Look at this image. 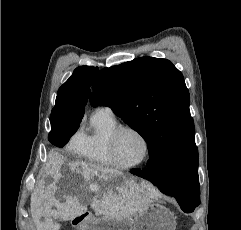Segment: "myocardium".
Masks as SVG:
<instances>
[{"mask_svg": "<svg viewBox=\"0 0 241 230\" xmlns=\"http://www.w3.org/2000/svg\"><path fill=\"white\" fill-rule=\"evenodd\" d=\"M124 131L134 132L136 135H138L141 138V140L144 143V147H145L144 155H143L142 159L139 160L138 162L123 163V162L119 161L117 158V154H116L117 142H118L119 136ZM108 153L115 166L124 168V169H132V168L139 167L146 162V160L148 159V157L150 155V143H149L147 137L138 128H136L132 125H128V124L118 125L109 135Z\"/></svg>", "mask_w": 241, "mask_h": 230, "instance_id": "myocardium-1", "label": "myocardium"}]
</instances>
